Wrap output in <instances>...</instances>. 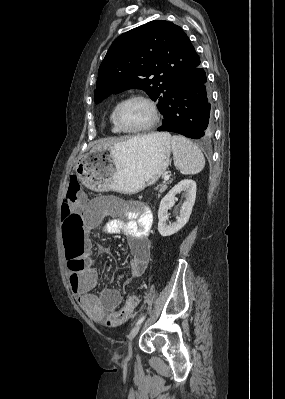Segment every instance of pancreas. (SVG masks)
I'll use <instances>...</instances> for the list:
<instances>
[{"instance_id":"obj_1","label":"pancreas","mask_w":285,"mask_h":399,"mask_svg":"<svg viewBox=\"0 0 285 399\" xmlns=\"http://www.w3.org/2000/svg\"><path fill=\"white\" fill-rule=\"evenodd\" d=\"M170 183H171V181L163 182V183L157 185L156 190H158L159 193H163L167 189L168 184H170Z\"/></svg>"}]
</instances>
